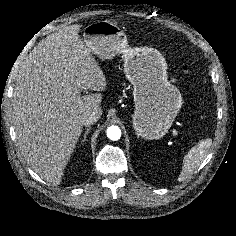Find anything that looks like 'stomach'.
<instances>
[{
	"label": "stomach",
	"instance_id": "0dacf381",
	"mask_svg": "<svg viewBox=\"0 0 236 236\" xmlns=\"http://www.w3.org/2000/svg\"><path fill=\"white\" fill-rule=\"evenodd\" d=\"M83 37L101 59L122 54L124 73L134 88L133 129L146 140L162 138L183 104L180 91L168 81L165 58L153 48L129 47L121 28L107 20L86 26Z\"/></svg>",
	"mask_w": 236,
	"mask_h": 236
}]
</instances>
